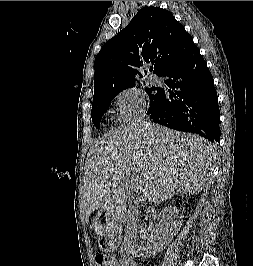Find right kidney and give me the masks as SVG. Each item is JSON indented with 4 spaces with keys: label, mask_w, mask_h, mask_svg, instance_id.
<instances>
[{
    "label": "right kidney",
    "mask_w": 253,
    "mask_h": 266,
    "mask_svg": "<svg viewBox=\"0 0 253 266\" xmlns=\"http://www.w3.org/2000/svg\"><path fill=\"white\" fill-rule=\"evenodd\" d=\"M178 227H181L180 221L176 223L175 232L171 233L170 230L169 234L164 235L155 230L152 223L148 226H138L133 233H130L128 236L131 240L129 242L131 254L142 258L155 256L158 252L163 250L173 236L176 235V232L179 230Z\"/></svg>",
    "instance_id": "right-kidney-1"
}]
</instances>
